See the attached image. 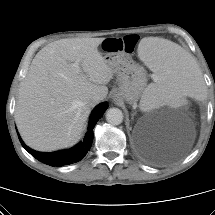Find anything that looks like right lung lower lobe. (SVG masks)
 Wrapping results in <instances>:
<instances>
[{"label":"right lung lower lobe","instance_id":"right-lung-lower-lobe-1","mask_svg":"<svg viewBox=\"0 0 215 215\" xmlns=\"http://www.w3.org/2000/svg\"><path fill=\"white\" fill-rule=\"evenodd\" d=\"M107 108V102H103L95 107V109L91 113L88 131L86 132L84 139L71 149L61 150L52 153H43L32 150L31 148L26 146L18 135L20 142L26 151H28L33 157H35L37 160L44 164L50 166H62L78 162L85 157L88 150L91 148L93 141V128L96 125L97 121L102 117L103 113Z\"/></svg>","mask_w":215,"mask_h":215}]
</instances>
